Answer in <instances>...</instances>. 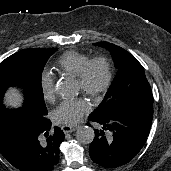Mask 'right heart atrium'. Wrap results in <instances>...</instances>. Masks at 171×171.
Here are the masks:
<instances>
[{
  "mask_svg": "<svg viewBox=\"0 0 171 171\" xmlns=\"http://www.w3.org/2000/svg\"><path fill=\"white\" fill-rule=\"evenodd\" d=\"M40 90L46 101H52L55 97L54 77L48 71L42 72L39 80Z\"/></svg>",
  "mask_w": 171,
  "mask_h": 171,
  "instance_id": "obj_1",
  "label": "right heart atrium"
}]
</instances>
